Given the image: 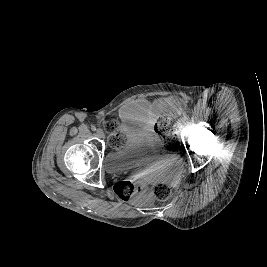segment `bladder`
Returning a JSON list of instances; mask_svg holds the SVG:
<instances>
[{"label":"bladder","mask_w":267,"mask_h":267,"mask_svg":"<svg viewBox=\"0 0 267 267\" xmlns=\"http://www.w3.org/2000/svg\"><path fill=\"white\" fill-rule=\"evenodd\" d=\"M159 156V145L156 140L129 138L121 148L106 154L105 168L110 173L132 171L155 162Z\"/></svg>","instance_id":"bladder-1"}]
</instances>
